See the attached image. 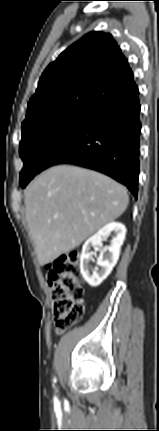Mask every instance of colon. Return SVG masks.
I'll use <instances>...</instances> for the list:
<instances>
[{
	"label": "colon",
	"instance_id": "5ec220e1",
	"mask_svg": "<svg viewBox=\"0 0 159 431\" xmlns=\"http://www.w3.org/2000/svg\"><path fill=\"white\" fill-rule=\"evenodd\" d=\"M80 253L71 251L59 256L48 273V286L53 301V315L59 329L78 323L84 313V290L80 281Z\"/></svg>",
	"mask_w": 159,
	"mask_h": 431
}]
</instances>
